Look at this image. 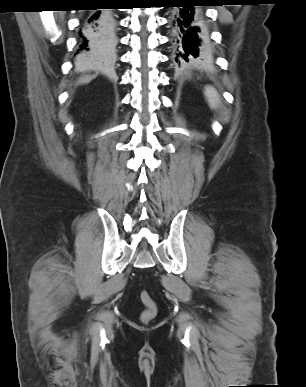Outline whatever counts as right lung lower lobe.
<instances>
[{"instance_id": "98d812e1", "label": "right lung lower lobe", "mask_w": 306, "mask_h": 387, "mask_svg": "<svg viewBox=\"0 0 306 387\" xmlns=\"http://www.w3.org/2000/svg\"><path fill=\"white\" fill-rule=\"evenodd\" d=\"M115 19L109 9H95L84 17L79 32L77 60L86 65L107 63L114 54Z\"/></svg>"}]
</instances>
